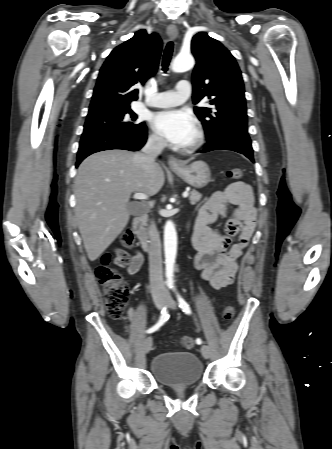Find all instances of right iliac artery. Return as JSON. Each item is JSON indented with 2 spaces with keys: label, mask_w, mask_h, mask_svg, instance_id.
Returning <instances> with one entry per match:
<instances>
[{
  "label": "right iliac artery",
  "mask_w": 332,
  "mask_h": 449,
  "mask_svg": "<svg viewBox=\"0 0 332 449\" xmlns=\"http://www.w3.org/2000/svg\"><path fill=\"white\" fill-rule=\"evenodd\" d=\"M169 318V313L167 310V307H164L161 311V316L158 320V322L151 327L150 329H148L146 332L147 333H153L154 331L158 330Z\"/></svg>",
  "instance_id": "82829eb1"
}]
</instances>
